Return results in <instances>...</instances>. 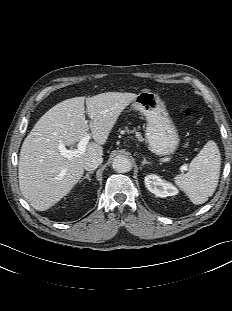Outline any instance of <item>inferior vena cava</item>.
<instances>
[{
	"instance_id": "obj_1",
	"label": "inferior vena cava",
	"mask_w": 232,
	"mask_h": 311,
	"mask_svg": "<svg viewBox=\"0 0 232 311\" xmlns=\"http://www.w3.org/2000/svg\"><path fill=\"white\" fill-rule=\"evenodd\" d=\"M103 158L101 156H94L86 160L84 168L87 171L95 170L101 163Z\"/></svg>"
}]
</instances>
